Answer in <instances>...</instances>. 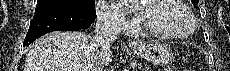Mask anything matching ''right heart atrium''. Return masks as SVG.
I'll use <instances>...</instances> for the list:
<instances>
[{"label":"right heart atrium","mask_w":230,"mask_h":71,"mask_svg":"<svg viewBox=\"0 0 230 71\" xmlns=\"http://www.w3.org/2000/svg\"><path fill=\"white\" fill-rule=\"evenodd\" d=\"M98 19L116 31H125L133 21L117 3L100 2L97 6Z\"/></svg>","instance_id":"right-heart-atrium-1"}]
</instances>
